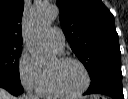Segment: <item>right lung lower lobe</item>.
<instances>
[{
  "label": "right lung lower lobe",
  "instance_id": "1",
  "mask_svg": "<svg viewBox=\"0 0 128 99\" xmlns=\"http://www.w3.org/2000/svg\"><path fill=\"white\" fill-rule=\"evenodd\" d=\"M0 87L6 89L11 94L17 96L23 93L24 89L21 84L13 83L7 79L0 78Z\"/></svg>",
  "mask_w": 128,
  "mask_h": 99
}]
</instances>
